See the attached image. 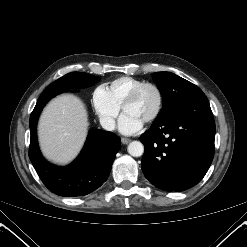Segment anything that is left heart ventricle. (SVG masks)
I'll return each instance as SVG.
<instances>
[{
  "label": "left heart ventricle",
  "instance_id": "b2bd125f",
  "mask_svg": "<svg viewBox=\"0 0 247 247\" xmlns=\"http://www.w3.org/2000/svg\"><path fill=\"white\" fill-rule=\"evenodd\" d=\"M156 106V92L152 88H146L133 103L125 107L124 112L132 114L145 122L153 114Z\"/></svg>",
  "mask_w": 247,
  "mask_h": 247
}]
</instances>
